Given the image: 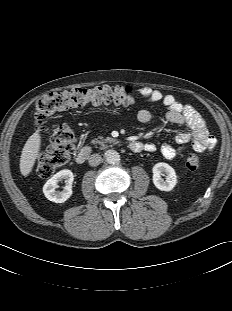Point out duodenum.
<instances>
[{"label": "duodenum", "instance_id": "obj_1", "mask_svg": "<svg viewBox=\"0 0 232 311\" xmlns=\"http://www.w3.org/2000/svg\"><path fill=\"white\" fill-rule=\"evenodd\" d=\"M129 148L133 152H141L144 149V145L140 142H131ZM92 149L89 146L83 147L76 155V162L78 164L84 163L88 157L91 155Z\"/></svg>", "mask_w": 232, "mask_h": 311}]
</instances>
